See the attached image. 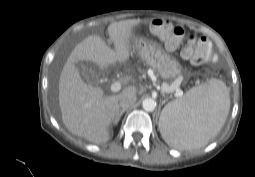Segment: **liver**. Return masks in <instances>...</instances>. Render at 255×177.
<instances>
[{"label": "liver", "instance_id": "obj_1", "mask_svg": "<svg viewBox=\"0 0 255 177\" xmlns=\"http://www.w3.org/2000/svg\"><path fill=\"white\" fill-rule=\"evenodd\" d=\"M139 23V20H124L108 26L115 50L101 37L91 35L77 44L68 57L59 79L58 98L63 123L74 135L96 144L107 142L110 139L109 127L120 110V99L126 94L137 93V88L130 85L119 94L104 96L101 88L82 80L75 64L90 61L103 70L116 62H126L131 54L132 30ZM130 80L135 82L132 78Z\"/></svg>", "mask_w": 255, "mask_h": 177}]
</instances>
